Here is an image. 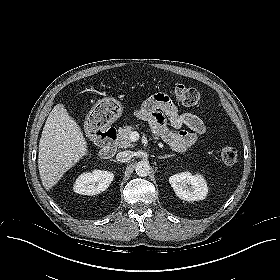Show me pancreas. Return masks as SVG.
<instances>
[{
    "label": "pancreas",
    "mask_w": 280,
    "mask_h": 280,
    "mask_svg": "<svg viewBox=\"0 0 280 280\" xmlns=\"http://www.w3.org/2000/svg\"><path fill=\"white\" fill-rule=\"evenodd\" d=\"M134 129H136V127L132 125H125L123 128L118 129L117 143L120 148H131L134 146L130 140V133L133 132Z\"/></svg>",
    "instance_id": "cf45deb5"
}]
</instances>
